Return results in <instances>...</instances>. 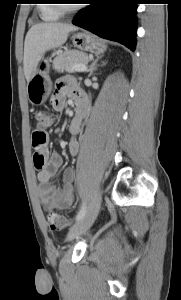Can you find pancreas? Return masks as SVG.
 I'll return each instance as SVG.
<instances>
[{
	"label": "pancreas",
	"mask_w": 181,
	"mask_h": 300,
	"mask_svg": "<svg viewBox=\"0 0 181 300\" xmlns=\"http://www.w3.org/2000/svg\"><path fill=\"white\" fill-rule=\"evenodd\" d=\"M88 56L77 50H67L59 53L53 60V68L59 72H74L76 64H86Z\"/></svg>",
	"instance_id": "obj_1"
}]
</instances>
